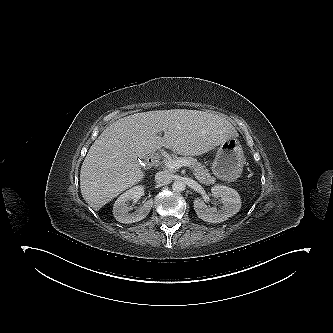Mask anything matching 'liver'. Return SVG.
Listing matches in <instances>:
<instances>
[{"label": "liver", "mask_w": 333, "mask_h": 333, "mask_svg": "<svg viewBox=\"0 0 333 333\" xmlns=\"http://www.w3.org/2000/svg\"><path fill=\"white\" fill-rule=\"evenodd\" d=\"M161 131L163 137L158 136ZM236 136L230 123L207 112L175 109L129 115L108 126L90 147L81 166V194L98 211L144 178L139 158L162 147L199 156Z\"/></svg>", "instance_id": "obj_1"}]
</instances>
